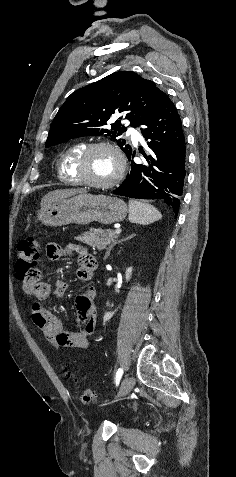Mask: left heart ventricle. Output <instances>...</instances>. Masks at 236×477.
<instances>
[{"label": "left heart ventricle", "mask_w": 236, "mask_h": 477, "mask_svg": "<svg viewBox=\"0 0 236 477\" xmlns=\"http://www.w3.org/2000/svg\"><path fill=\"white\" fill-rule=\"evenodd\" d=\"M117 169L118 163L114 153L105 148H98L88 155L84 175L89 180L105 182L115 176Z\"/></svg>", "instance_id": "1"}]
</instances>
